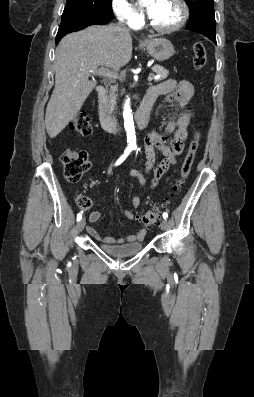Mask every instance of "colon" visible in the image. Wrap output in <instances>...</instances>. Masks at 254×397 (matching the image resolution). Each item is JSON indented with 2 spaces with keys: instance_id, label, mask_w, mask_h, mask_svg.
<instances>
[{
  "instance_id": "obj_1",
  "label": "colon",
  "mask_w": 254,
  "mask_h": 397,
  "mask_svg": "<svg viewBox=\"0 0 254 397\" xmlns=\"http://www.w3.org/2000/svg\"><path fill=\"white\" fill-rule=\"evenodd\" d=\"M192 48L194 53V68L196 70H200L204 67L206 63L205 47L201 42H195ZM70 129L72 132L80 136L89 135L92 130L89 116L85 113L78 114L71 121ZM200 137V132H196L189 144L187 154L181 167L180 177L178 178L176 186L174 187L175 193H177L182 188L191 171L194 159L199 148ZM61 161L63 164L64 176L66 180L70 183L79 182L83 174L90 167L88 154L84 150H66L61 156ZM78 204L80 206L86 207L89 205V200L86 197H79ZM140 220L143 224L148 226L156 224L159 220V212L155 209L149 210L140 216Z\"/></svg>"
}]
</instances>
